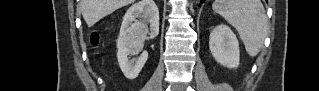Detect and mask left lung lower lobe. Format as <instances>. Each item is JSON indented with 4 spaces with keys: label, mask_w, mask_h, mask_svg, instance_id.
<instances>
[{
    "label": "left lung lower lobe",
    "mask_w": 319,
    "mask_h": 91,
    "mask_svg": "<svg viewBox=\"0 0 319 91\" xmlns=\"http://www.w3.org/2000/svg\"><path fill=\"white\" fill-rule=\"evenodd\" d=\"M205 0H200V4L203 3ZM267 1V0H266Z\"/></svg>",
    "instance_id": "1"
}]
</instances>
